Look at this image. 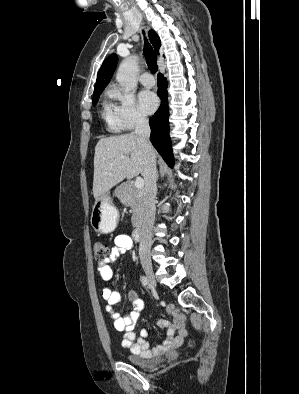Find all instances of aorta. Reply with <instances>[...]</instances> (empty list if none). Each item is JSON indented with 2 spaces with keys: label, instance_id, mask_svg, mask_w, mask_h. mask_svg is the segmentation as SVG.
<instances>
[{
  "label": "aorta",
  "instance_id": "obj_1",
  "mask_svg": "<svg viewBox=\"0 0 299 394\" xmlns=\"http://www.w3.org/2000/svg\"><path fill=\"white\" fill-rule=\"evenodd\" d=\"M138 71V58L136 56L129 57L122 61L116 74V80L124 92H129L136 87Z\"/></svg>",
  "mask_w": 299,
  "mask_h": 394
}]
</instances>
